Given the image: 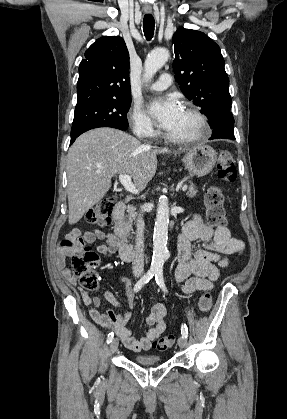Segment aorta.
<instances>
[{"label":"aorta","instance_id":"762f6f07","mask_svg":"<svg viewBox=\"0 0 287 419\" xmlns=\"http://www.w3.org/2000/svg\"><path fill=\"white\" fill-rule=\"evenodd\" d=\"M168 58L169 52L165 48H157L151 51L144 63V80H151L155 73L163 67ZM168 225V199L167 197L162 196L159 200L154 227L151 271H161L164 262L169 258V251L167 249Z\"/></svg>","mask_w":287,"mask_h":419}]
</instances>
